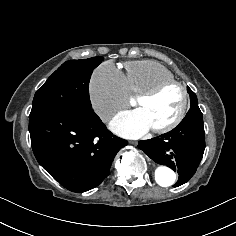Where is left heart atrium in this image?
Returning <instances> with one entry per match:
<instances>
[{
	"instance_id": "left-heart-atrium-1",
	"label": "left heart atrium",
	"mask_w": 236,
	"mask_h": 236,
	"mask_svg": "<svg viewBox=\"0 0 236 236\" xmlns=\"http://www.w3.org/2000/svg\"><path fill=\"white\" fill-rule=\"evenodd\" d=\"M110 128L118 135L126 138H139L151 128L141 109L123 111L110 123Z\"/></svg>"
}]
</instances>
